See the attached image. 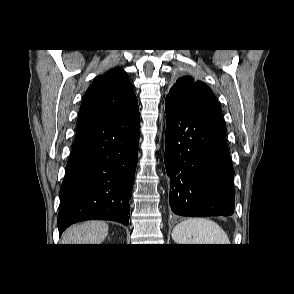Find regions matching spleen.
<instances>
[{
  "label": "spleen",
  "mask_w": 294,
  "mask_h": 294,
  "mask_svg": "<svg viewBox=\"0 0 294 294\" xmlns=\"http://www.w3.org/2000/svg\"><path fill=\"white\" fill-rule=\"evenodd\" d=\"M176 244H230L225 231L207 218H189L177 224L172 231Z\"/></svg>",
  "instance_id": "3e777b00"
}]
</instances>
